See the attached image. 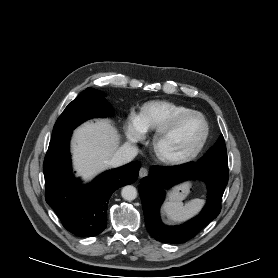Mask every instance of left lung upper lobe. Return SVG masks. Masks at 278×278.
Instances as JSON below:
<instances>
[{"label":"left lung upper lobe","instance_id":"1","mask_svg":"<svg viewBox=\"0 0 278 278\" xmlns=\"http://www.w3.org/2000/svg\"><path fill=\"white\" fill-rule=\"evenodd\" d=\"M196 164L202 167L228 172L227 151L223 135L219 137L216 144Z\"/></svg>","mask_w":278,"mask_h":278}]
</instances>
